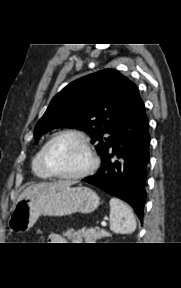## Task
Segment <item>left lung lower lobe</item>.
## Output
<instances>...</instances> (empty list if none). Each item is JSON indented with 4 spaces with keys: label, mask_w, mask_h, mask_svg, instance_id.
<instances>
[{
    "label": "left lung lower lobe",
    "mask_w": 181,
    "mask_h": 288,
    "mask_svg": "<svg viewBox=\"0 0 181 288\" xmlns=\"http://www.w3.org/2000/svg\"><path fill=\"white\" fill-rule=\"evenodd\" d=\"M149 144V120L138 93L111 147L102 157L100 169L95 175L83 179L126 201L141 221L146 200ZM114 156L121 161H114Z\"/></svg>",
    "instance_id": "obj_1"
}]
</instances>
